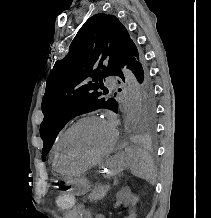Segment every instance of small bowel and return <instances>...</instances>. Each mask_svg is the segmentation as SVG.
Here are the masks:
<instances>
[{
    "label": "small bowel",
    "instance_id": "obj_1",
    "mask_svg": "<svg viewBox=\"0 0 211 218\" xmlns=\"http://www.w3.org/2000/svg\"><path fill=\"white\" fill-rule=\"evenodd\" d=\"M71 217L76 216L77 218H91L90 212L83 206V205H77L72 211H71ZM136 214L133 210L128 209L127 215L124 218H135ZM96 218H105L103 215H97Z\"/></svg>",
    "mask_w": 211,
    "mask_h": 218
}]
</instances>
